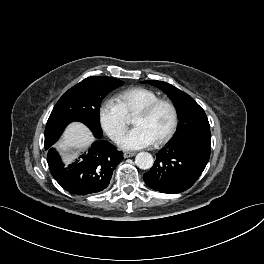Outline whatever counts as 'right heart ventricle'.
<instances>
[{
	"label": "right heart ventricle",
	"instance_id": "e07e8e85",
	"mask_svg": "<svg viewBox=\"0 0 264 264\" xmlns=\"http://www.w3.org/2000/svg\"><path fill=\"white\" fill-rule=\"evenodd\" d=\"M159 98V95L145 87L125 89L116 95L117 103L127 116H134L139 110L150 102Z\"/></svg>",
	"mask_w": 264,
	"mask_h": 264
}]
</instances>
